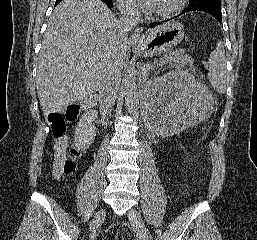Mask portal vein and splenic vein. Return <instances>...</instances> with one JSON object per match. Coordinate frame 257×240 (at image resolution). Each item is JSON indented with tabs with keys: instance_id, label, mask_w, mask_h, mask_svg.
Listing matches in <instances>:
<instances>
[{
	"instance_id": "1",
	"label": "portal vein and splenic vein",
	"mask_w": 257,
	"mask_h": 240,
	"mask_svg": "<svg viewBox=\"0 0 257 240\" xmlns=\"http://www.w3.org/2000/svg\"><path fill=\"white\" fill-rule=\"evenodd\" d=\"M150 68H151V64L148 63V64H146V65L143 66V71L146 72V71H148Z\"/></svg>"
}]
</instances>
